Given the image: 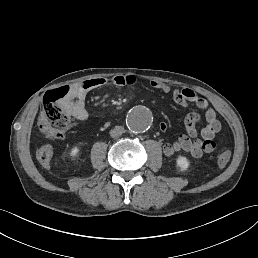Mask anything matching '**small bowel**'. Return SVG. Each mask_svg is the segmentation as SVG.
I'll use <instances>...</instances> for the list:
<instances>
[{
  "label": "small bowel",
  "instance_id": "c3829d8e",
  "mask_svg": "<svg viewBox=\"0 0 258 258\" xmlns=\"http://www.w3.org/2000/svg\"><path fill=\"white\" fill-rule=\"evenodd\" d=\"M115 86H133L139 83V80L134 75H117L111 79ZM108 84V80L103 77L84 80L80 83L71 86L69 97L63 102L62 107L67 114L73 116L77 120L84 121L88 117L85 109V99L89 92L102 88ZM150 85L162 92H169L170 87L163 82L151 81ZM174 101L182 106L187 107L194 104L197 108L205 110L206 125L201 130V138H198L197 125L201 120L197 112H190L184 119L186 134H181L171 142L163 145V152L170 157L178 152H185L194 158H200L205 153L214 151L215 136L221 129V124L216 117L213 109L209 108L208 101L199 97L193 90L189 88L175 89L173 91ZM166 124H161V129H166ZM53 157V149L49 144L40 146L36 151V158L42 167L49 169L51 167Z\"/></svg>",
  "mask_w": 258,
  "mask_h": 258
}]
</instances>
